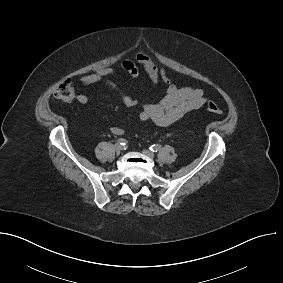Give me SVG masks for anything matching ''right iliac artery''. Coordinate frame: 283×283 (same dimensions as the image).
Returning a JSON list of instances; mask_svg holds the SVG:
<instances>
[{"instance_id": "1", "label": "right iliac artery", "mask_w": 283, "mask_h": 283, "mask_svg": "<svg viewBox=\"0 0 283 283\" xmlns=\"http://www.w3.org/2000/svg\"><path fill=\"white\" fill-rule=\"evenodd\" d=\"M116 142H117V144H120V145H123V146L127 144V141L123 138L118 139Z\"/></svg>"}]
</instances>
